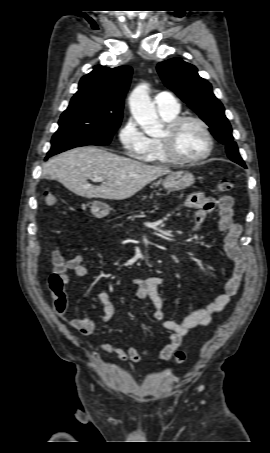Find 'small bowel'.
I'll return each mask as SVG.
<instances>
[{
  "label": "small bowel",
  "instance_id": "c3829d8e",
  "mask_svg": "<svg viewBox=\"0 0 270 453\" xmlns=\"http://www.w3.org/2000/svg\"><path fill=\"white\" fill-rule=\"evenodd\" d=\"M233 203V198L228 195L221 196L218 200H213L201 194H192L185 202L187 208L195 210L197 228L202 224L206 215L217 206L219 214L218 229L226 233L224 249L234 265L232 275L225 286V293L219 295L213 302L191 312L181 320H165L164 305L158 292V288L165 283V278L162 276L135 278L133 283L137 286V297L143 302H151L152 317L156 321L162 322L163 328L171 333L169 338L162 347L152 346L141 350L134 347L124 348L111 342L104 343L97 348L88 344L90 349L97 352L115 353L119 360L134 363L142 361L157 351L156 360L167 361L180 346L183 336L196 327L208 325L214 314L223 310L230 303L231 298L238 292L247 270V257L239 245L242 227L233 219ZM52 262L54 273L61 277L64 284L70 282L69 271H72L77 277H84L88 274L87 263L80 254L66 260L62 250L55 248L52 251ZM97 297L103 309L100 323L107 324L115 313V307L108 292H99ZM66 321L71 328L77 330L83 336L92 335L97 328V322L90 316L66 319Z\"/></svg>",
  "mask_w": 270,
  "mask_h": 453
}]
</instances>
